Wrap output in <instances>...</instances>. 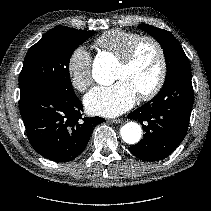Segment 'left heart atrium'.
<instances>
[{"instance_id":"left-heart-atrium-1","label":"left heart atrium","mask_w":211,"mask_h":211,"mask_svg":"<svg viewBox=\"0 0 211 211\" xmlns=\"http://www.w3.org/2000/svg\"><path fill=\"white\" fill-rule=\"evenodd\" d=\"M137 100L134 87L124 79L109 86H97L84 97L87 111L94 115L114 117L130 109Z\"/></svg>"}]
</instances>
